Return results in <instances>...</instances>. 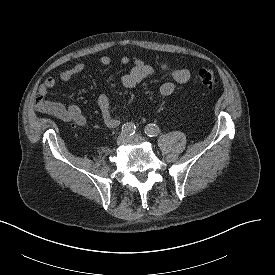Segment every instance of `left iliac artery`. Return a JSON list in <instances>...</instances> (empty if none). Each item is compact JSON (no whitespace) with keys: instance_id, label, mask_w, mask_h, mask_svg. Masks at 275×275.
I'll use <instances>...</instances> for the list:
<instances>
[{"instance_id":"obj_1","label":"left iliac artery","mask_w":275,"mask_h":275,"mask_svg":"<svg viewBox=\"0 0 275 275\" xmlns=\"http://www.w3.org/2000/svg\"><path fill=\"white\" fill-rule=\"evenodd\" d=\"M145 133L149 137H155V136H157L160 133V129L155 124H148L145 127Z\"/></svg>"}]
</instances>
